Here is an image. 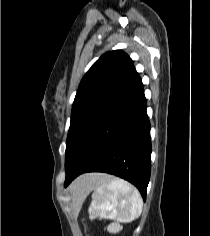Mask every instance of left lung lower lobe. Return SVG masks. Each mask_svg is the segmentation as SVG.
I'll use <instances>...</instances> for the list:
<instances>
[{
    "label": "left lung lower lobe",
    "instance_id": "1",
    "mask_svg": "<svg viewBox=\"0 0 210 236\" xmlns=\"http://www.w3.org/2000/svg\"><path fill=\"white\" fill-rule=\"evenodd\" d=\"M65 171V186L84 172L117 175L134 184L145 201L151 140L140 77L82 131L65 159Z\"/></svg>",
    "mask_w": 210,
    "mask_h": 236
}]
</instances>
